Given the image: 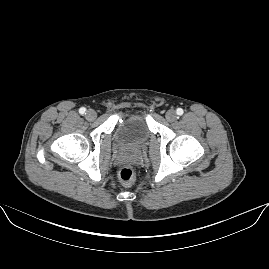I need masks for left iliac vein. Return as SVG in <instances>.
<instances>
[{
	"label": "left iliac vein",
	"mask_w": 269,
	"mask_h": 269,
	"mask_svg": "<svg viewBox=\"0 0 269 269\" xmlns=\"http://www.w3.org/2000/svg\"><path fill=\"white\" fill-rule=\"evenodd\" d=\"M166 119L169 122H174L177 119V114L174 110H168L166 113Z\"/></svg>",
	"instance_id": "obj_1"
}]
</instances>
